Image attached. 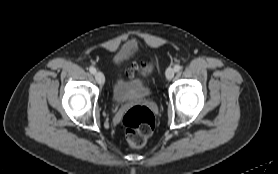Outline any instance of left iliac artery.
I'll use <instances>...</instances> for the list:
<instances>
[{
    "instance_id": "obj_1",
    "label": "left iliac artery",
    "mask_w": 278,
    "mask_h": 174,
    "mask_svg": "<svg viewBox=\"0 0 278 174\" xmlns=\"http://www.w3.org/2000/svg\"><path fill=\"white\" fill-rule=\"evenodd\" d=\"M175 72H179L181 70V66L179 64L174 66Z\"/></svg>"
}]
</instances>
